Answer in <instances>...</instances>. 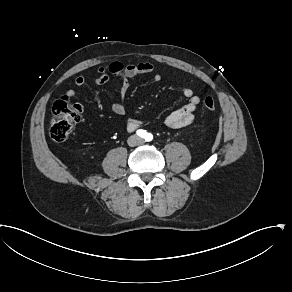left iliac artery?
Here are the masks:
<instances>
[{
    "mask_svg": "<svg viewBox=\"0 0 292 292\" xmlns=\"http://www.w3.org/2000/svg\"><path fill=\"white\" fill-rule=\"evenodd\" d=\"M152 139H153L152 134L148 133L147 136H146V140L147 141H151Z\"/></svg>",
    "mask_w": 292,
    "mask_h": 292,
    "instance_id": "1",
    "label": "left iliac artery"
}]
</instances>
